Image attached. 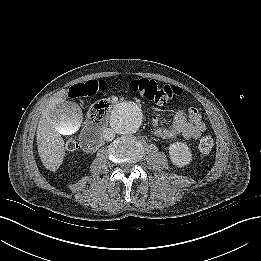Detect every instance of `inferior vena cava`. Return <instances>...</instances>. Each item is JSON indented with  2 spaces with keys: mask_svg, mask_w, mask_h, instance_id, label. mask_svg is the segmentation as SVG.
<instances>
[{
  "mask_svg": "<svg viewBox=\"0 0 261 261\" xmlns=\"http://www.w3.org/2000/svg\"><path fill=\"white\" fill-rule=\"evenodd\" d=\"M103 138L106 141H112L115 138V132L111 128H106L103 130Z\"/></svg>",
  "mask_w": 261,
  "mask_h": 261,
  "instance_id": "1",
  "label": "inferior vena cava"
}]
</instances>
